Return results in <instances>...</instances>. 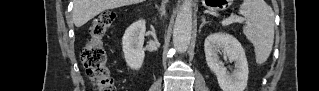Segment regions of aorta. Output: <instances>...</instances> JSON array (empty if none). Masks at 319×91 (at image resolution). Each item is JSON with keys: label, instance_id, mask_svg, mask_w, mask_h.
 <instances>
[{"label": "aorta", "instance_id": "1", "mask_svg": "<svg viewBox=\"0 0 319 91\" xmlns=\"http://www.w3.org/2000/svg\"><path fill=\"white\" fill-rule=\"evenodd\" d=\"M192 34V1L185 0L175 20L173 29L174 48L183 53L187 50Z\"/></svg>", "mask_w": 319, "mask_h": 91}]
</instances>
